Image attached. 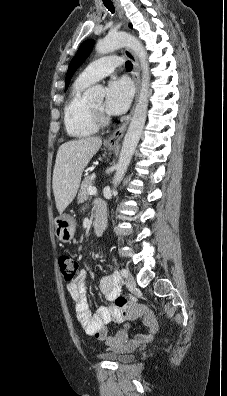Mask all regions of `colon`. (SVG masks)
Listing matches in <instances>:
<instances>
[{
  "mask_svg": "<svg viewBox=\"0 0 227 396\" xmlns=\"http://www.w3.org/2000/svg\"><path fill=\"white\" fill-rule=\"evenodd\" d=\"M59 267L64 282L71 283L76 276L78 268L76 260L69 256H62L59 258ZM128 302L129 301L126 298L122 297L117 300L116 304L118 306H125Z\"/></svg>",
  "mask_w": 227,
  "mask_h": 396,
  "instance_id": "colon-1",
  "label": "colon"
}]
</instances>
